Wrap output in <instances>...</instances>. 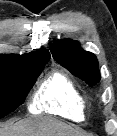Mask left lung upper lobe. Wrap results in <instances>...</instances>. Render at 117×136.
Returning a JSON list of instances; mask_svg holds the SVG:
<instances>
[{"instance_id":"5c2ea615","label":"left lung upper lobe","mask_w":117,"mask_h":136,"mask_svg":"<svg viewBox=\"0 0 117 136\" xmlns=\"http://www.w3.org/2000/svg\"><path fill=\"white\" fill-rule=\"evenodd\" d=\"M50 49L59 64L89 86L99 83L100 72L96 56L81 49L78 42L70 39L59 40Z\"/></svg>"}]
</instances>
